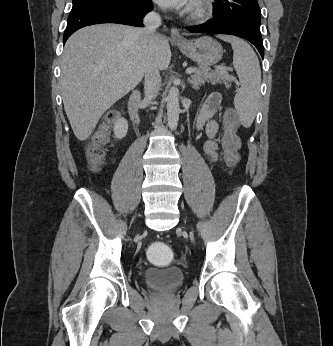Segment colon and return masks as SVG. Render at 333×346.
Instances as JSON below:
<instances>
[{
  "label": "colon",
  "mask_w": 333,
  "mask_h": 346,
  "mask_svg": "<svg viewBox=\"0 0 333 346\" xmlns=\"http://www.w3.org/2000/svg\"><path fill=\"white\" fill-rule=\"evenodd\" d=\"M119 116L118 111H111L107 118L115 120ZM238 116L234 110H228L224 116V133L222 136L223 161L229 168H234L239 162L240 142L237 135ZM109 143V134L106 127L98 130L92 141L86 147V157L90 166L98 168L105 158V146ZM146 260H151L153 268H169L174 260V253L169 249V244H163L162 240H153L147 244Z\"/></svg>",
  "instance_id": "colon-1"
}]
</instances>
